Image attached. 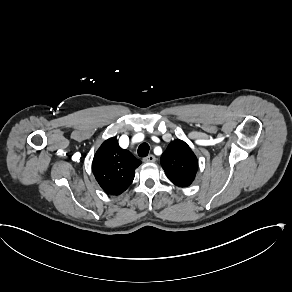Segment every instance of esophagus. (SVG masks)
Returning a JSON list of instances; mask_svg holds the SVG:
<instances>
[{"label":"esophagus","mask_w":292,"mask_h":292,"mask_svg":"<svg viewBox=\"0 0 292 292\" xmlns=\"http://www.w3.org/2000/svg\"><path fill=\"white\" fill-rule=\"evenodd\" d=\"M156 158L154 155H148L146 157L143 158V162L148 163V162H155Z\"/></svg>","instance_id":"esophagus-1"}]
</instances>
